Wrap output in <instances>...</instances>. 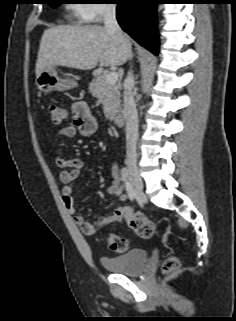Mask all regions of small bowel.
<instances>
[{
	"label": "small bowel",
	"mask_w": 236,
	"mask_h": 321,
	"mask_svg": "<svg viewBox=\"0 0 236 321\" xmlns=\"http://www.w3.org/2000/svg\"><path fill=\"white\" fill-rule=\"evenodd\" d=\"M99 122L97 118L91 113L88 104L83 100L75 101L72 105V120L70 123L61 127L56 139H68L79 134L83 137L91 136L98 129ZM55 162L61 169L59 176L63 183L62 200L68 213L74 216V223L86 234H92L93 224L85 219L81 214H77V207L75 201V187L72 182L76 180L81 173L83 162L79 158L64 159L61 156H56ZM111 173L113 176V183L108 188V194L117 197L124 201L126 195L122 192V184L120 179L119 167L116 162L111 165Z\"/></svg>",
	"instance_id": "obj_1"
}]
</instances>
